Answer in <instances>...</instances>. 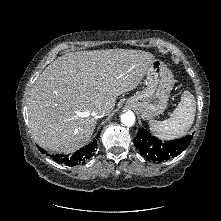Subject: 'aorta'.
Segmentation results:
<instances>
[{"mask_svg":"<svg viewBox=\"0 0 221 221\" xmlns=\"http://www.w3.org/2000/svg\"><path fill=\"white\" fill-rule=\"evenodd\" d=\"M121 122L126 126H132L135 123V115L132 111H128L121 115Z\"/></svg>","mask_w":221,"mask_h":221,"instance_id":"762f6f07","label":"aorta"}]
</instances>
